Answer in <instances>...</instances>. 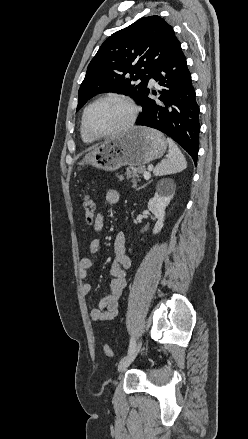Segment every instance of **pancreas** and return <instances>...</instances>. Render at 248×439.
Returning a JSON list of instances; mask_svg holds the SVG:
<instances>
[{
    "mask_svg": "<svg viewBox=\"0 0 248 439\" xmlns=\"http://www.w3.org/2000/svg\"><path fill=\"white\" fill-rule=\"evenodd\" d=\"M145 172V168L144 167H139V168H135L132 170H127L126 171V177L127 179H131V182L133 184V187L137 186V182L140 181V174ZM120 180L123 179L122 176H118Z\"/></svg>",
    "mask_w": 248,
    "mask_h": 439,
    "instance_id": "cf45deb5",
    "label": "pancreas"
}]
</instances>
